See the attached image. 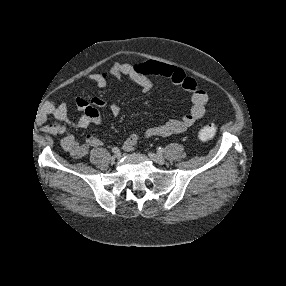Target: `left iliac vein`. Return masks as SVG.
<instances>
[{
	"label": "left iliac vein",
	"mask_w": 286,
	"mask_h": 286,
	"mask_svg": "<svg viewBox=\"0 0 286 286\" xmlns=\"http://www.w3.org/2000/svg\"><path fill=\"white\" fill-rule=\"evenodd\" d=\"M149 158L158 164H164L166 162L165 158L162 155L150 152L148 153Z\"/></svg>",
	"instance_id": "4c4485c4"
}]
</instances>
